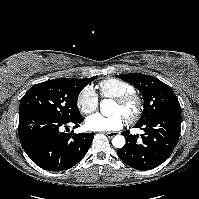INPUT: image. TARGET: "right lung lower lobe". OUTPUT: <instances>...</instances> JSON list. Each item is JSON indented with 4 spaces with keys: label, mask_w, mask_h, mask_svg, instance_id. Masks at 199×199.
<instances>
[{
    "label": "right lung lower lobe",
    "mask_w": 199,
    "mask_h": 199,
    "mask_svg": "<svg viewBox=\"0 0 199 199\" xmlns=\"http://www.w3.org/2000/svg\"><path fill=\"white\" fill-rule=\"evenodd\" d=\"M83 121L79 117L63 121L41 114L19 116V138L29 158L39 167L49 171L67 170L77 164L87 153L94 133H65L63 128H73Z\"/></svg>",
    "instance_id": "98d812e1"
}]
</instances>
